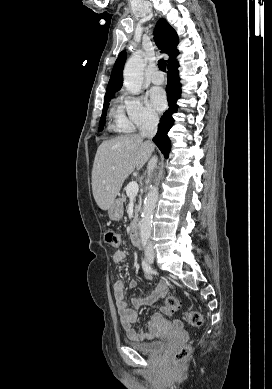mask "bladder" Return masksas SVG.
I'll return each instance as SVG.
<instances>
[{
  "instance_id": "bladder-1",
  "label": "bladder",
  "mask_w": 272,
  "mask_h": 389,
  "mask_svg": "<svg viewBox=\"0 0 272 389\" xmlns=\"http://www.w3.org/2000/svg\"><path fill=\"white\" fill-rule=\"evenodd\" d=\"M128 344L133 349L147 355L159 354L163 352L166 348L165 340H155L150 342H138L134 340H128Z\"/></svg>"
}]
</instances>
